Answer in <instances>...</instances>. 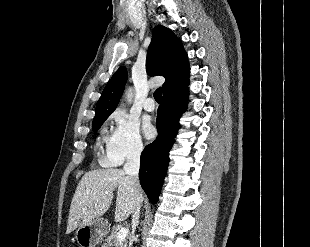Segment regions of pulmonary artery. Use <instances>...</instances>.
I'll use <instances>...</instances> for the list:
<instances>
[{"label":"pulmonary artery","mask_w":310,"mask_h":247,"mask_svg":"<svg viewBox=\"0 0 310 247\" xmlns=\"http://www.w3.org/2000/svg\"><path fill=\"white\" fill-rule=\"evenodd\" d=\"M143 107L146 111H154L155 109V103L154 100L152 98H147L144 103H143Z\"/></svg>","instance_id":"e3ab8cb5"}]
</instances>
